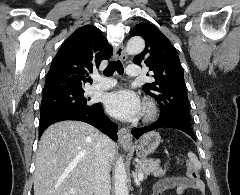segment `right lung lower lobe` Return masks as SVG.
<instances>
[{
    "label": "right lung lower lobe",
    "instance_id": "1",
    "mask_svg": "<svg viewBox=\"0 0 240 195\" xmlns=\"http://www.w3.org/2000/svg\"><path fill=\"white\" fill-rule=\"evenodd\" d=\"M63 120L86 122L117 141L118 126L106 117L101 105L94 108H60L42 112L40 114L39 137L51 124Z\"/></svg>",
    "mask_w": 240,
    "mask_h": 195
}]
</instances>
